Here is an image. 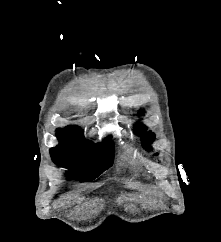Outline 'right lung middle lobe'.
I'll list each match as a JSON object with an SVG mask.
<instances>
[{
    "mask_svg": "<svg viewBox=\"0 0 221 242\" xmlns=\"http://www.w3.org/2000/svg\"><path fill=\"white\" fill-rule=\"evenodd\" d=\"M59 145L50 149L54 163L66 167L67 179L92 181L113 164L114 144L110 138L93 144L73 134L57 133Z\"/></svg>",
    "mask_w": 221,
    "mask_h": 242,
    "instance_id": "obj_1",
    "label": "right lung middle lobe"
}]
</instances>
